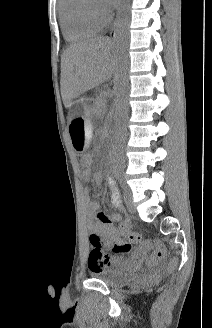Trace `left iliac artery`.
Here are the masks:
<instances>
[{"label": "left iliac artery", "instance_id": "44dca946", "mask_svg": "<svg viewBox=\"0 0 212 328\" xmlns=\"http://www.w3.org/2000/svg\"><path fill=\"white\" fill-rule=\"evenodd\" d=\"M120 183H121L122 187L125 188V184L123 183L122 179L120 180Z\"/></svg>", "mask_w": 212, "mask_h": 328}]
</instances>
